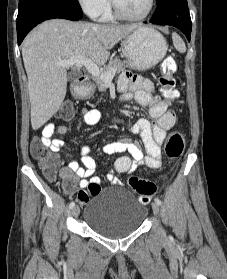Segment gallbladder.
<instances>
[{"instance_id": "bac80fb5", "label": "gallbladder", "mask_w": 227, "mask_h": 279, "mask_svg": "<svg viewBox=\"0 0 227 279\" xmlns=\"http://www.w3.org/2000/svg\"><path fill=\"white\" fill-rule=\"evenodd\" d=\"M79 75H80V73H79L78 71H71V72L68 74V80H69V81H73V80H75Z\"/></svg>"}]
</instances>
